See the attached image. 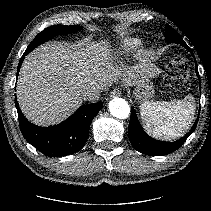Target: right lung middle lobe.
<instances>
[{"mask_svg":"<svg viewBox=\"0 0 211 211\" xmlns=\"http://www.w3.org/2000/svg\"><path fill=\"white\" fill-rule=\"evenodd\" d=\"M81 28H82L81 26H64V25H54L48 27L35 37V39L27 47L26 51L27 52L32 51L38 45L50 40L55 36L74 33L81 30Z\"/></svg>","mask_w":211,"mask_h":211,"instance_id":"dd1d6c3e","label":"right lung middle lobe"}]
</instances>
